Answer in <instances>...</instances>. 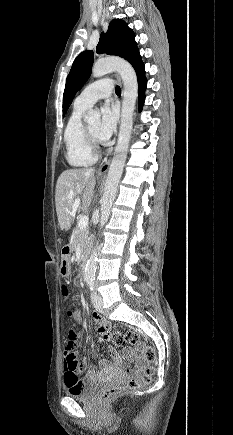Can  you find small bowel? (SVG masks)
<instances>
[{
    "instance_id": "c3829d8e",
    "label": "small bowel",
    "mask_w": 233,
    "mask_h": 435,
    "mask_svg": "<svg viewBox=\"0 0 233 435\" xmlns=\"http://www.w3.org/2000/svg\"><path fill=\"white\" fill-rule=\"evenodd\" d=\"M60 290L61 293L65 295L68 292V285H62ZM74 318L76 322L81 321V315L78 310L75 311ZM92 319L97 325V335L105 341L109 340L110 333L108 331V325L102 321L100 314L94 312L92 314ZM68 336L69 339L72 340L75 338L76 334L73 331H70ZM109 351L113 361L111 362L107 359H101L99 365H92L91 368L85 372L82 381L83 384L92 382L100 375H104L113 371H119L124 368L123 362L120 360L117 352L113 348H111ZM123 352L129 358V360L136 362L137 366L135 368V372H140L142 370V360L138 355L137 349L125 347ZM87 367L88 360L86 357H80L76 353L65 354L63 362V381L65 386L70 388V384L67 379L69 375L76 376L77 374L82 373Z\"/></svg>"
}]
</instances>
